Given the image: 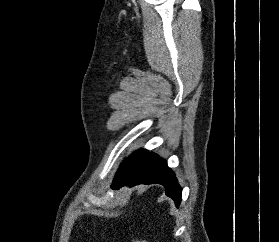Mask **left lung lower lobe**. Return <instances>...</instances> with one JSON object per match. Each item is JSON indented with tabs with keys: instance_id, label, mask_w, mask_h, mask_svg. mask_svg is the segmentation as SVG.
Instances as JSON below:
<instances>
[{
	"instance_id": "1",
	"label": "left lung lower lobe",
	"mask_w": 279,
	"mask_h": 242,
	"mask_svg": "<svg viewBox=\"0 0 279 242\" xmlns=\"http://www.w3.org/2000/svg\"><path fill=\"white\" fill-rule=\"evenodd\" d=\"M157 183L165 187L166 195L178 206L181 202L182 189L167 162L154 153H147L135 163L124 176L112 184L113 188L135 186L137 184Z\"/></svg>"
}]
</instances>
